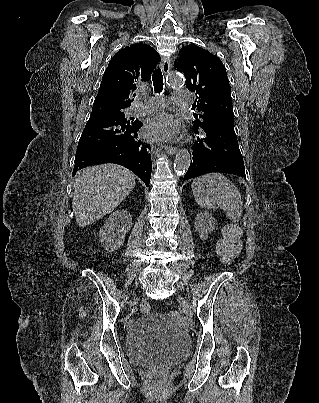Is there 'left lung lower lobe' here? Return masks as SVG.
Instances as JSON below:
<instances>
[{
  "instance_id": "1",
  "label": "left lung lower lobe",
  "mask_w": 319,
  "mask_h": 403,
  "mask_svg": "<svg viewBox=\"0 0 319 403\" xmlns=\"http://www.w3.org/2000/svg\"><path fill=\"white\" fill-rule=\"evenodd\" d=\"M197 141L183 181L210 172L246 178L243 157L234 131V117H222L194 128Z\"/></svg>"
}]
</instances>
